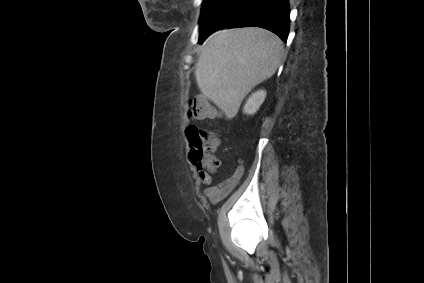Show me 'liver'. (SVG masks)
I'll use <instances>...</instances> for the list:
<instances>
[{
  "mask_svg": "<svg viewBox=\"0 0 424 283\" xmlns=\"http://www.w3.org/2000/svg\"><path fill=\"white\" fill-rule=\"evenodd\" d=\"M281 55V39L266 29L217 31L202 45L195 68L198 88L232 119L246 95L276 72Z\"/></svg>",
  "mask_w": 424,
  "mask_h": 283,
  "instance_id": "6515ba94",
  "label": "liver"
}]
</instances>
